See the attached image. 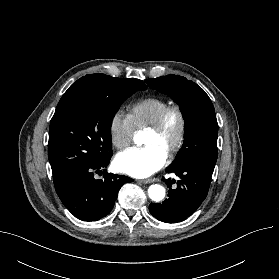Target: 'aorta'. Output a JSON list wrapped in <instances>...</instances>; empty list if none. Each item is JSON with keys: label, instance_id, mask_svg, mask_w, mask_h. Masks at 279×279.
<instances>
[{"label": "aorta", "instance_id": "762f6f07", "mask_svg": "<svg viewBox=\"0 0 279 279\" xmlns=\"http://www.w3.org/2000/svg\"><path fill=\"white\" fill-rule=\"evenodd\" d=\"M134 141L137 144L141 143L140 136H135ZM148 194L151 200L155 202H159L164 199L165 197V188L159 184H153L148 188Z\"/></svg>", "mask_w": 279, "mask_h": 279}]
</instances>
